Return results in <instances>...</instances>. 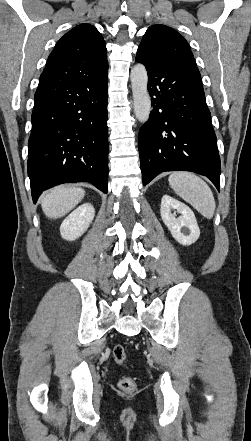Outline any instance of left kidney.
I'll return each mask as SVG.
<instances>
[{"label": "left kidney", "mask_w": 251, "mask_h": 441, "mask_svg": "<svg viewBox=\"0 0 251 441\" xmlns=\"http://www.w3.org/2000/svg\"><path fill=\"white\" fill-rule=\"evenodd\" d=\"M172 210L175 212L172 213ZM176 212L181 214L178 218H176ZM160 214L164 224L178 243L188 246L198 240L200 230L193 211L187 205L169 195H164L161 200Z\"/></svg>", "instance_id": "5707ae66"}]
</instances>
